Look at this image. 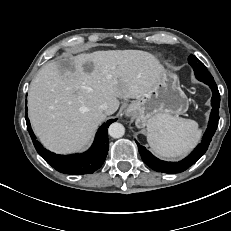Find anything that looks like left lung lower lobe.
Instances as JSON below:
<instances>
[{"label": "left lung lower lobe", "mask_w": 231, "mask_h": 231, "mask_svg": "<svg viewBox=\"0 0 231 231\" xmlns=\"http://www.w3.org/2000/svg\"><path fill=\"white\" fill-rule=\"evenodd\" d=\"M210 86L212 90V111L210 114L209 124L202 141L198 146L191 152L188 157L179 162H166L159 160L155 156H153L144 146H141L137 141H135L138 145V149L142 160L147 164L150 168L155 171L162 173H180L188 169L191 165H193L197 160L200 159L202 155L207 151L208 146L212 140L214 133L218 127L219 121V107H220V94L216 83H205Z\"/></svg>", "instance_id": "1"}]
</instances>
